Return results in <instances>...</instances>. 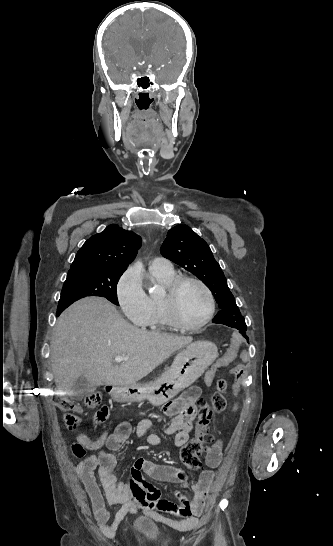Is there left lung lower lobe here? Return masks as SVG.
Masks as SVG:
<instances>
[{"label":"left lung lower lobe","mask_w":333,"mask_h":546,"mask_svg":"<svg viewBox=\"0 0 333 546\" xmlns=\"http://www.w3.org/2000/svg\"><path fill=\"white\" fill-rule=\"evenodd\" d=\"M212 321L214 323H217V324H224V325H227V326L232 327V328H237V327H234V325H232L231 323H229L227 321L226 315L223 314V313L217 314ZM237 329L248 340V336L246 335L247 327L237 328Z\"/></svg>","instance_id":"obj_1"}]
</instances>
